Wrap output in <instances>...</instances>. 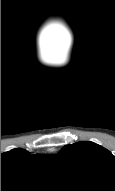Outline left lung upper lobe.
Returning <instances> with one entry per match:
<instances>
[{"mask_svg": "<svg viewBox=\"0 0 115 191\" xmlns=\"http://www.w3.org/2000/svg\"><path fill=\"white\" fill-rule=\"evenodd\" d=\"M60 153L92 163L113 159L109 150L90 141L65 145Z\"/></svg>", "mask_w": 115, "mask_h": 191, "instance_id": "obj_1", "label": "left lung upper lobe"}]
</instances>
